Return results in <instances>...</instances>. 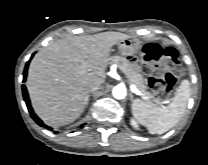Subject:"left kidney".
I'll use <instances>...</instances> for the list:
<instances>
[{"mask_svg": "<svg viewBox=\"0 0 208 165\" xmlns=\"http://www.w3.org/2000/svg\"><path fill=\"white\" fill-rule=\"evenodd\" d=\"M131 125L136 128V129H139V126L137 124V122L134 120V119H131Z\"/></svg>", "mask_w": 208, "mask_h": 165, "instance_id": "1", "label": "left kidney"}]
</instances>
